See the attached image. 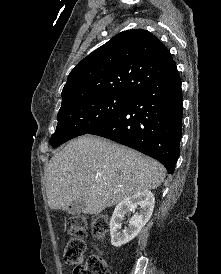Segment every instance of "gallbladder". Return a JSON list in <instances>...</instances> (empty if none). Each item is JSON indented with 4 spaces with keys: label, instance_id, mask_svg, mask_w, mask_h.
Returning a JSON list of instances; mask_svg holds the SVG:
<instances>
[{
    "label": "gallbladder",
    "instance_id": "1",
    "mask_svg": "<svg viewBox=\"0 0 221 274\" xmlns=\"http://www.w3.org/2000/svg\"><path fill=\"white\" fill-rule=\"evenodd\" d=\"M85 204L82 199L74 200L67 208V212L72 215H77L83 212Z\"/></svg>",
    "mask_w": 221,
    "mask_h": 274
}]
</instances>
